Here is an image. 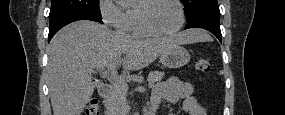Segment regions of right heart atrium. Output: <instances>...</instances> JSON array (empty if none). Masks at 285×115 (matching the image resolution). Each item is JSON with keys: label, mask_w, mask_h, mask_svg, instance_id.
I'll return each instance as SVG.
<instances>
[{"label": "right heart atrium", "mask_w": 285, "mask_h": 115, "mask_svg": "<svg viewBox=\"0 0 285 115\" xmlns=\"http://www.w3.org/2000/svg\"><path fill=\"white\" fill-rule=\"evenodd\" d=\"M100 12L103 21L122 31L126 30V12L114 0H102L100 2Z\"/></svg>", "instance_id": "1"}]
</instances>
